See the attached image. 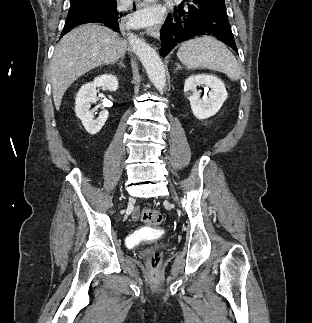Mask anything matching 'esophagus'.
Masks as SVG:
<instances>
[{"label": "esophagus", "instance_id": "34e87169", "mask_svg": "<svg viewBox=\"0 0 312 323\" xmlns=\"http://www.w3.org/2000/svg\"><path fill=\"white\" fill-rule=\"evenodd\" d=\"M150 5H151L150 0H137V5L136 6H137V9H141V8L144 9L146 7H149ZM146 32L151 37L159 38V28H158L157 25L147 28Z\"/></svg>", "mask_w": 312, "mask_h": 323}]
</instances>
